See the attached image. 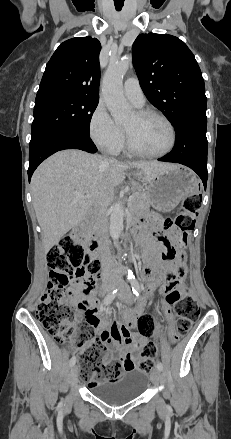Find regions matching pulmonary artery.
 I'll list each match as a JSON object with an SVG mask.
<instances>
[{
  "instance_id": "obj_1",
  "label": "pulmonary artery",
  "mask_w": 231,
  "mask_h": 439,
  "mask_svg": "<svg viewBox=\"0 0 231 439\" xmlns=\"http://www.w3.org/2000/svg\"><path fill=\"white\" fill-rule=\"evenodd\" d=\"M123 90L128 100L131 101L136 107H142L144 105V93L135 77L125 80Z\"/></svg>"
}]
</instances>
